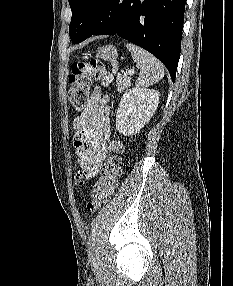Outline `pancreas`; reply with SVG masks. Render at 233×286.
I'll use <instances>...</instances> for the list:
<instances>
[{
    "instance_id": "obj_1",
    "label": "pancreas",
    "mask_w": 233,
    "mask_h": 286,
    "mask_svg": "<svg viewBox=\"0 0 233 286\" xmlns=\"http://www.w3.org/2000/svg\"><path fill=\"white\" fill-rule=\"evenodd\" d=\"M113 73H116V71L113 70ZM130 85H131V79L128 76L118 73L116 79L117 90L121 92L130 87Z\"/></svg>"
}]
</instances>
